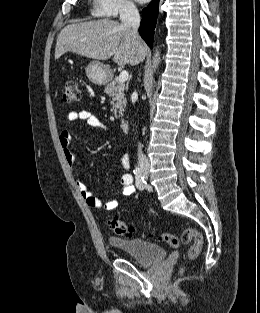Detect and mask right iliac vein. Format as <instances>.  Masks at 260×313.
<instances>
[{
  "instance_id": "obj_1",
  "label": "right iliac vein",
  "mask_w": 260,
  "mask_h": 313,
  "mask_svg": "<svg viewBox=\"0 0 260 313\" xmlns=\"http://www.w3.org/2000/svg\"><path fill=\"white\" fill-rule=\"evenodd\" d=\"M143 172H144V174H147V170L146 169H143Z\"/></svg>"
}]
</instances>
